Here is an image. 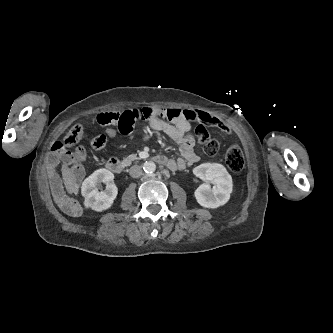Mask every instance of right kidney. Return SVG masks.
Returning <instances> with one entry per match:
<instances>
[{"label":"right kidney","mask_w":333,"mask_h":333,"mask_svg":"<svg viewBox=\"0 0 333 333\" xmlns=\"http://www.w3.org/2000/svg\"><path fill=\"white\" fill-rule=\"evenodd\" d=\"M106 184L105 190H100L101 184ZM118 193L114 184V174L107 169H98L87 177L81 186L84 205L95 211L110 208Z\"/></svg>","instance_id":"obj_1"}]
</instances>
